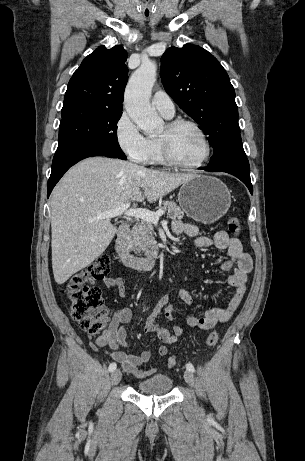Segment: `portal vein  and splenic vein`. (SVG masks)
I'll use <instances>...</instances> for the list:
<instances>
[{
	"label": "portal vein and splenic vein",
	"mask_w": 305,
	"mask_h": 461,
	"mask_svg": "<svg viewBox=\"0 0 305 461\" xmlns=\"http://www.w3.org/2000/svg\"><path fill=\"white\" fill-rule=\"evenodd\" d=\"M164 214L163 210H158L157 212H152L143 208H130V202L122 204L121 206L116 207L113 210H109L103 213L97 214L92 221L101 220V219H110L118 216H128L140 218L142 220L158 223L159 218Z\"/></svg>",
	"instance_id": "18ae733b"
}]
</instances>
